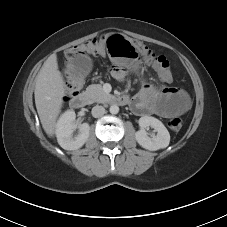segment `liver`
Wrapping results in <instances>:
<instances>
[{"mask_svg": "<svg viewBox=\"0 0 227 227\" xmlns=\"http://www.w3.org/2000/svg\"><path fill=\"white\" fill-rule=\"evenodd\" d=\"M35 81L36 109L44 131L48 136H53L66 93V85L58 69L55 54L44 62Z\"/></svg>", "mask_w": 227, "mask_h": 227, "instance_id": "liver-1", "label": "liver"}]
</instances>
